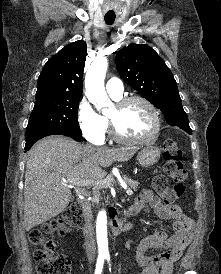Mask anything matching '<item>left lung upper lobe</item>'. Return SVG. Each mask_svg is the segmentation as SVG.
Returning a JSON list of instances; mask_svg holds the SVG:
<instances>
[{
    "instance_id": "5c2ea615",
    "label": "left lung upper lobe",
    "mask_w": 221,
    "mask_h": 274,
    "mask_svg": "<svg viewBox=\"0 0 221 274\" xmlns=\"http://www.w3.org/2000/svg\"><path fill=\"white\" fill-rule=\"evenodd\" d=\"M123 80L164 113L168 123L188 122L176 81L157 52L144 44H131L116 55Z\"/></svg>"
}]
</instances>
